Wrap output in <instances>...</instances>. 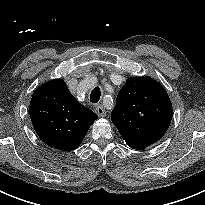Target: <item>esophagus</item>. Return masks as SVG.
Wrapping results in <instances>:
<instances>
[{
    "instance_id": "1",
    "label": "esophagus",
    "mask_w": 205,
    "mask_h": 205,
    "mask_svg": "<svg viewBox=\"0 0 205 205\" xmlns=\"http://www.w3.org/2000/svg\"><path fill=\"white\" fill-rule=\"evenodd\" d=\"M95 112L100 117H104L106 115V111H105L103 105H101V104H98V105L95 106Z\"/></svg>"
}]
</instances>
